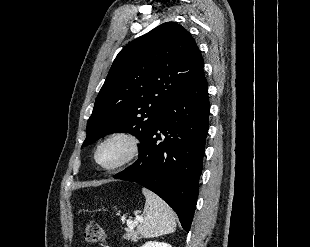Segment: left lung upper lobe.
<instances>
[{
    "label": "left lung upper lobe",
    "instance_id": "5c2ea615",
    "mask_svg": "<svg viewBox=\"0 0 310 247\" xmlns=\"http://www.w3.org/2000/svg\"><path fill=\"white\" fill-rule=\"evenodd\" d=\"M191 34L166 22L127 44L116 56L87 122L82 147L129 132L146 142L168 104L202 71Z\"/></svg>",
    "mask_w": 310,
    "mask_h": 247
}]
</instances>
